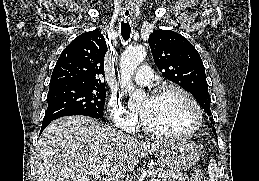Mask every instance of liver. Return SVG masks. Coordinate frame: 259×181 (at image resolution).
I'll use <instances>...</instances> for the list:
<instances>
[{
    "label": "liver",
    "mask_w": 259,
    "mask_h": 181,
    "mask_svg": "<svg viewBox=\"0 0 259 181\" xmlns=\"http://www.w3.org/2000/svg\"><path fill=\"white\" fill-rule=\"evenodd\" d=\"M168 141L144 142L85 116L59 118L38 140L36 181H94L88 169H107L102 181H120Z\"/></svg>",
    "instance_id": "obj_1"
}]
</instances>
